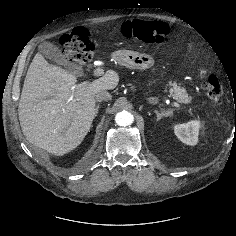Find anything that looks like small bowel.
I'll list each match as a JSON object with an SVG mask.
<instances>
[{"label": "small bowel", "instance_id": "1", "mask_svg": "<svg viewBox=\"0 0 236 236\" xmlns=\"http://www.w3.org/2000/svg\"><path fill=\"white\" fill-rule=\"evenodd\" d=\"M187 43L189 44V45H191L192 44V41H191V39H187Z\"/></svg>", "mask_w": 236, "mask_h": 236}]
</instances>
